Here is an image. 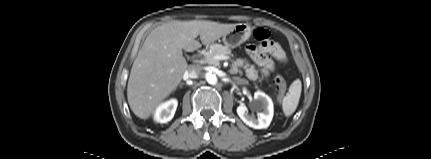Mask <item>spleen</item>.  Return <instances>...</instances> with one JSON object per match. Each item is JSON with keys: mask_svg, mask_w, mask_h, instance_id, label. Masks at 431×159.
Segmentation results:
<instances>
[{"mask_svg": "<svg viewBox=\"0 0 431 159\" xmlns=\"http://www.w3.org/2000/svg\"><path fill=\"white\" fill-rule=\"evenodd\" d=\"M301 90V81L297 79L291 84L289 92L282 101V109L285 116H291L295 112L299 103Z\"/></svg>", "mask_w": 431, "mask_h": 159, "instance_id": "spleen-1", "label": "spleen"}]
</instances>
